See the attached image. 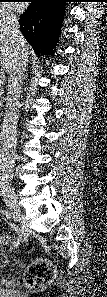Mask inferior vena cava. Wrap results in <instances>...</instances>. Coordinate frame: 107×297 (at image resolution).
<instances>
[{
	"label": "inferior vena cava",
	"mask_w": 107,
	"mask_h": 297,
	"mask_svg": "<svg viewBox=\"0 0 107 297\" xmlns=\"http://www.w3.org/2000/svg\"><path fill=\"white\" fill-rule=\"evenodd\" d=\"M0 32L6 34L16 45L14 67L9 73L10 78L8 82L4 120L0 133L1 167L6 174L10 175L14 168L19 100L28 62V53L19 30L17 17L8 13L4 14L0 20Z\"/></svg>",
	"instance_id": "602c4592"
}]
</instances>
